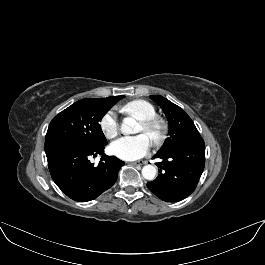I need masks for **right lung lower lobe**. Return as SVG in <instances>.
<instances>
[{
	"instance_id": "98d812e1",
	"label": "right lung lower lobe",
	"mask_w": 265,
	"mask_h": 265,
	"mask_svg": "<svg viewBox=\"0 0 265 265\" xmlns=\"http://www.w3.org/2000/svg\"><path fill=\"white\" fill-rule=\"evenodd\" d=\"M106 144L91 146L68 138L45 140V152L52 179L71 199L87 202L97 198L117 180L124 162L104 154ZM102 155L97 166L91 155Z\"/></svg>"
}]
</instances>
